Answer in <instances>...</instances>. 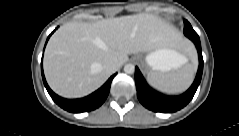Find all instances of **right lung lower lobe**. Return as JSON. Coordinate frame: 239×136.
Listing matches in <instances>:
<instances>
[{"label":"right lung lower lobe","mask_w":239,"mask_h":136,"mask_svg":"<svg viewBox=\"0 0 239 136\" xmlns=\"http://www.w3.org/2000/svg\"><path fill=\"white\" fill-rule=\"evenodd\" d=\"M50 36H51V34L48 36L47 41ZM47 41H46V43H47ZM41 73H42L44 85H45L49 95L53 99V101L56 104H58L61 108H63L64 110H67L72 113L88 112V111H92V110L98 108L99 106H101L103 104V102L106 100V98L110 92V86H111L112 79L116 75V74L112 75L101 88H99L97 91L93 92L89 96H86V97L80 98V99H65V98H62V97L56 95L49 88V86L45 80V77H44L42 63H41Z\"/></svg>","instance_id":"obj_1"}]
</instances>
